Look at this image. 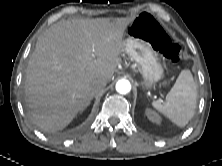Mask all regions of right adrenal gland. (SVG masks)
Masks as SVG:
<instances>
[{
  "instance_id": "obj_1",
  "label": "right adrenal gland",
  "mask_w": 222,
  "mask_h": 166,
  "mask_svg": "<svg viewBox=\"0 0 222 166\" xmlns=\"http://www.w3.org/2000/svg\"><path fill=\"white\" fill-rule=\"evenodd\" d=\"M92 98H93V95L89 98L88 103H87V105L85 106V108H87V106L90 105ZM85 108H84V109H85ZM84 109H83V110H84Z\"/></svg>"
}]
</instances>
